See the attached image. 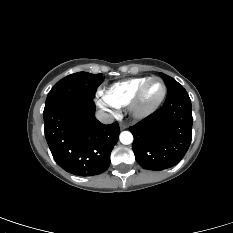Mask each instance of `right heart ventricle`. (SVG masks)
Listing matches in <instances>:
<instances>
[{
  "mask_svg": "<svg viewBox=\"0 0 233 233\" xmlns=\"http://www.w3.org/2000/svg\"><path fill=\"white\" fill-rule=\"evenodd\" d=\"M149 77L132 78L112 84L103 94L104 100L115 108H121L130 104L133 96Z\"/></svg>",
  "mask_w": 233,
  "mask_h": 233,
  "instance_id": "e07e8e85",
  "label": "right heart ventricle"
}]
</instances>
